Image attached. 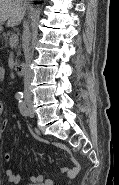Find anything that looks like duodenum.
I'll return each mask as SVG.
<instances>
[{
    "label": "duodenum",
    "mask_w": 119,
    "mask_h": 185,
    "mask_svg": "<svg viewBox=\"0 0 119 185\" xmlns=\"http://www.w3.org/2000/svg\"><path fill=\"white\" fill-rule=\"evenodd\" d=\"M16 72L19 76L23 77L27 73V65L24 62H20L16 65Z\"/></svg>",
    "instance_id": "1"
}]
</instances>
